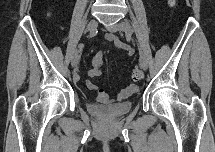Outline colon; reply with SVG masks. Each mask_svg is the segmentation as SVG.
Listing matches in <instances>:
<instances>
[{"mask_svg":"<svg viewBox=\"0 0 215 152\" xmlns=\"http://www.w3.org/2000/svg\"><path fill=\"white\" fill-rule=\"evenodd\" d=\"M175 4H176L175 0L170 1L171 6H174ZM132 76H133V79L136 80V81L141 80L142 77H143L142 70L139 67L134 68L133 72H132Z\"/></svg>","mask_w":215,"mask_h":152,"instance_id":"5ec220e1","label":"colon"}]
</instances>
